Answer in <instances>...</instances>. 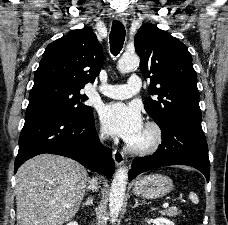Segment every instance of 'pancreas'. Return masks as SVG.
<instances>
[{"label":"pancreas","mask_w":228,"mask_h":225,"mask_svg":"<svg viewBox=\"0 0 228 225\" xmlns=\"http://www.w3.org/2000/svg\"><path fill=\"white\" fill-rule=\"evenodd\" d=\"M177 211H178L177 207H169V209H165V211H161V215H167V217H176V215H179Z\"/></svg>","instance_id":"cf45deb5"}]
</instances>
